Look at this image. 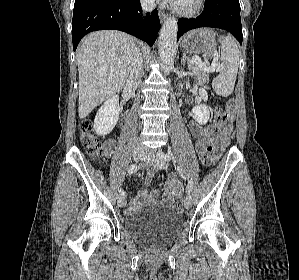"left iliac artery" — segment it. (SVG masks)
I'll list each match as a JSON object with an SVG mask.
<instances>
[{
    "label": "left iliac artery",
    "mask_w": 299,
    "mask_h": 280,
    "mask_svg": "<svg viewBox=\"0 0 299 280\" xmlns=\"http://www.w3.org/2000/svg\"><path fill=\"white\" fill-rule=\"evenodd\" d=\"M159 156L166 161H169L170 159H174L173 153L171 151H168L167 153L159 152ZM192 188H193V181L190 180L187 185L188 194L192 191Z\"/></svg>",
    "instance_id": "1"
}]
</instances>
